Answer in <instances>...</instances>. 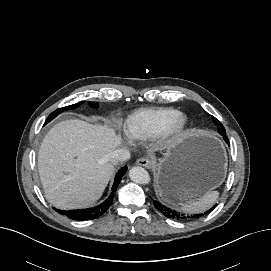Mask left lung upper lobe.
Masks as SVG:
<instances>
[{"mask_svg": "<svg viewBox=\"0 0 271 271\" xmlns=\"http://www.w3.org/2000/svg\"><path fill=\"white\" fill-rule=\"evenodd\" d=\"M212 120L214 121V123L217 125V129L218 132L222 135L225 132V129L223 127V125L215 118L212 116Z\"/></svg>", "mask_w": 271, "mask_h": 271, "instance_id": "1", "label": "left lung upper lobe"}]
</instances>
